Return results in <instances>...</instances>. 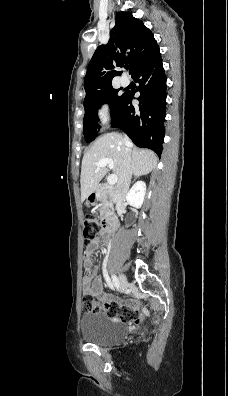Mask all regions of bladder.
<instances>
[{
	"mask_svg": "<svg viewBox=\"0 0 228 396\" xmlns=\"http://www.w3.org/2000/svg\"><path fill=\"white\" fill-rule=\"evenodd\" d=\"M81 334L84 340L99 346H109L123 341L130 331L127 325L109 317L104 312H90L80 321Z\"/></svg>",
	"mask_w": 228,
	"mask_h": 396,
	"instance_id": "31cf9c89",
	"label": "bladder"
}]
</instances>
